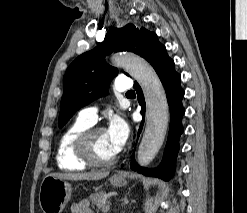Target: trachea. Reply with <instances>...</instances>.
Returning <instances> with one entry per match:
<instances>
[{"label": "trachea", "mask_w": 247, "mask_h": 213, "mask_svg": "<svg viewBox=\"0 0 247 213\" xmlns=\"http://www.w3.org/2000/svg\"><path fill=\"white\" fill-rule=\"evenodd\" d=\"M127 93H134V91H129V92H127Z\"/></svg>", "instance_id": "1"}]
</instances>
